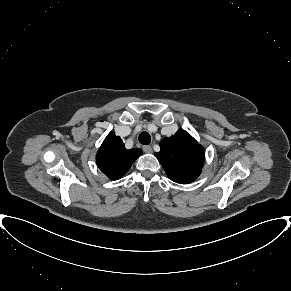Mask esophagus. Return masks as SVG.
I'll return each mask as SVG.
<instances>
[{
	"label": "esophagus",
	"mask_w": 291,
	"mask_h": 291,
	"mask_svg": "<svg viewBox=\"0 0 291 291\" xmlns=\"http://www.w3.org/2000/svg\"><path fill=\"white\" fill-rule=\"evenodd\" d=\"M145 153H152V147L147 145L143 147Z\"/></svg>",
	"instance_id": "esophagus-1"
}]
</instances>
